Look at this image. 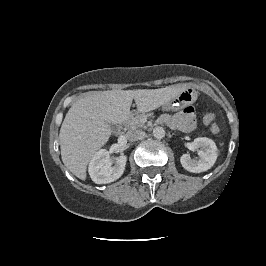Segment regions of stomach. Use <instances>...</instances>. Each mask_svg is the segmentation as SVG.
Instances as JSON below:
<instances>
[{
  "label": "stomach",
  "mask_w": 266,
  "mask_h": 266,
  "mask_svg": "<svg viewBox=\"0 0 266 266\" xmlns=\"http://www.w3.org/2000/svg\"><path fill=\"white\" fill-rule=\"evenodd\" d=\"M196 99V90L192 86H184L179 93L163 105V108L166 110H177L192 104Z\"/></svg>",
  "instance_id": "1"
}]
</instances>
